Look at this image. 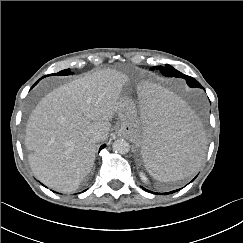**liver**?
<instances>
[{
	"instance_id": "obj_1",
	"label": "liver",
	"mask_w": 243,
	"mask_h": 243,
	"mask_svg": "<svg viewBox=\"0 0 243 243\" xmlns=\"http://www.w3.org/2000/svg\"><path fill=\"white\" fill-rule=\"evenodd\" d=\"M128 77L116 70L87 73L43 97L31 113L25 146L29 164L43 184L71 193L91 172L95 133L107 139Z\"/></svg>"
}]
</instances>
